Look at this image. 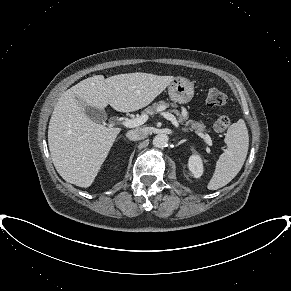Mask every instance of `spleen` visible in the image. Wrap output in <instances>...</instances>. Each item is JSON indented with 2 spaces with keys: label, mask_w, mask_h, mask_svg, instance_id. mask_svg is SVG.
<instances>
[{
  "label": "spleen",
  "mask_w": 291,
  "mask_h": 291,
  "mask_svg": "<svg viewBox=\"0 0 291 291\" xmlns=\"http://www.w3.org/2000/svg\"><path fill=\"white\" fill-rule=\"evenodd\" d=\"M224 142L226 150L220 155L213 177L208 183L209 190L227 185L241 170L249 147V135L243 119L233 123L227 130Z\"/></svg>",
  "instance_id": "1"
}]
</instances>
